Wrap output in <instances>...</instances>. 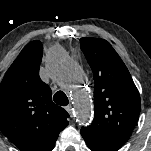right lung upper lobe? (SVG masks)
<instances>
[{"mask_svg":"<svg viewBox=\"0 0 151 151\" xmlns=\"http://www.w3.org/2000/svg\"><path fill=\"white\" fill-rule=\"evenodd\" d=\"M43 46L28 43L0 84V129L21 151H51L69 114L39 77Z\"/></svg>","mask_w":151,"mask_h":151,"instance_id":"cb5924a9","label":"right lung upper lobe"}]
</instances>
